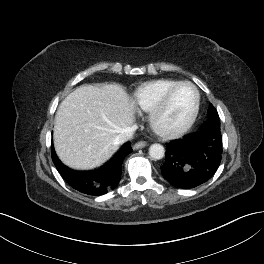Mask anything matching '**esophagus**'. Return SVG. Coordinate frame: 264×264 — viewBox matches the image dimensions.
<instances>
[{
    "label": "esophagus",
    "mask_w": 264,
    "mask_h": 264,
    "mask_svg": "<svg viewBox=\"0 0 264 264\" xmlns=\"http://www.w3.org/2000/svg\"><path fill=\"white\" fill-rule=\"evenodd\" d=\"M145 146H147V143L145 141H139L134 144L133 149L137 150V149L144 148Z\"/></svg>",
    "instance_id": "obj_1"
}]
</instances>
